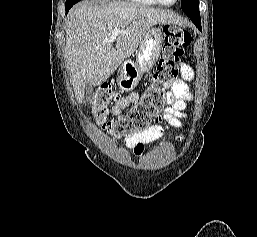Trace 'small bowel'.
<instances>
[{"mask_svg": "<svg viewBox=\"0 0 257 237\" xmlns=\"http://www.w3.org/2000/svg\"><path fill=\"white\" fill-rule=\"evenodd\" d=\"M183 79L176 80L170 91L166 94L167 107L155 118V121L147 129L136 133L125 140L127 148L132 149L138 156L142 155L146 143L161 138L168 127L182 128L186 105L192 96L189 92L188 82L192 81L194 72L190 65H182ZM140 97L139 93H131L127 96H116L115 103L111 109L114 115H119L129 104L135 103Z\"/></svg>", "mask_w": 257, "mask_h": 237, "instance_id": "1", "label": "small bowel"}]
</instances>
